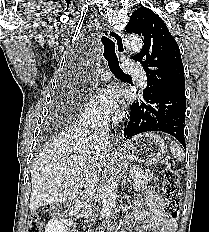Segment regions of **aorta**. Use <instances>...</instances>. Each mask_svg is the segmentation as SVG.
Wrapping results in <instances>:
<instances>
[{"mask_svg":"<svg viewBox=\"0 0 209 232\" xmlns=\"http://www.w3.org/2000/svg\"><path fill=\"white\" fill-rule=\"evenodd\" d=\"M125 45L128 49L139 52L143 47L142 39L137 35H128L125 38ZM116 168H111L108 177L105 180L104 189L102 192V219H108L116 205L118 184L114 177Z\"/></svg>","mask_w":209,"mask_h":232,"instance_id":"obj_1","label":"aorta"}]
</instances>
